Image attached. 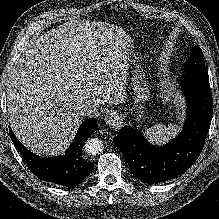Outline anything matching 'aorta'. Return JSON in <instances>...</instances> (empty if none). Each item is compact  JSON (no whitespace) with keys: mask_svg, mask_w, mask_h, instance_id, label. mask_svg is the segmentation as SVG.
Returning a JSON list of instances; mask_svg holds the SVG:
<instances>
[{"mask_svg":"<svg viewBox=\"0 0 219 219\" xmlns=\"http://www.w3.org/2000/svg\"><path fill=\"white\" fill-rule=\"evenodd\" d=\"M104 149L102 141L98 138H90L84 145V150L88 155H98Z\"/></svg>","mask_w":219,"mask_h":219,"instance_id":"aorta-1","label":"aorta"}]
</instances>
